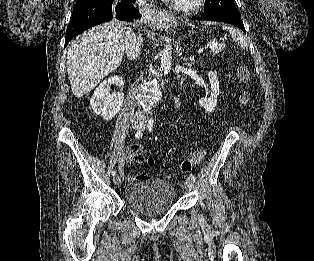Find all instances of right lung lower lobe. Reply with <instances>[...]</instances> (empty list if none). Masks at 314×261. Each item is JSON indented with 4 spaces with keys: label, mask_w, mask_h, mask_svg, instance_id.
I'll return each instance as SVG.
<instances>
[{
    "label": "right lung lower lobe",
    "mask_w": 314,
    "mask_h": 261,
    "mask_svg": "<svg viewBox=\"0 0 314 261\" xmlns=\"http://www.w3.org/2000/svg\"><path fill=\"white\" fill-rule=\"evenodd\" d=\"M136 0H85L74 6L70 23L66 30L65 46L81 32L113 17L119 20L132 21L141 17L132 5Z\"/></svg>",
    "instance_id": "obj_1"
}]
</instances>
